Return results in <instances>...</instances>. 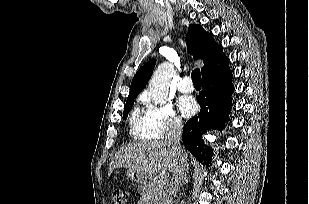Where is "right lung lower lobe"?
Masks as SVG:
<instances>
[{
	"instance_id": "right-lung-lower-lobe-1",
	"label": "right lung lower lobe",
	"mask_w": 309,
	"mask_h": 204,
	"mask_svg": "<svg viewBox=\"0 0 309 204\" xmlns=\"http://www.w3.org/2000/svg\"><path fill=\"white\" fill-rule=\"evenodd\" d=\"M231 79L229 65L202 77V92L198 97L201 110L183 128V144L199 161L204 160L205 164L210 163L213 151L210 147H204L202 135L210 129L222 130L228 122L234 92Z\"/></svg>"
}]
</instances>
